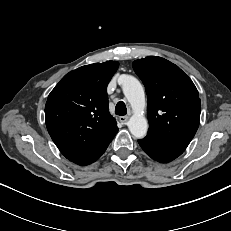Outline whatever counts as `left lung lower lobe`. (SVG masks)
I'll return each instance as SVG.
<instances>
[{
  "label": "left lung lower lobe",
  "instance_id": "1",
  "mask_svg": "<svg viewBox=\"0 0 231 231\" xmlns=\"http://www.w3.org/2000/svg\"><path fill=\"white\" fill-rule=\"evenodd\" d=\"M138 143L152 159L161 163L170 162L184 152L183 150L163 143L150 135L138 140Z\"/></svg>",
  "mask_w": 231,
  "mask_h": 231
}]
</instances>
